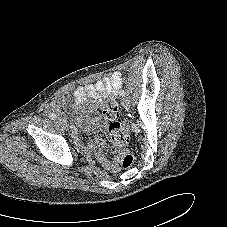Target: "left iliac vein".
Masks as SVG:
<instances>
[{
	"instance_id": "obj_1",
	"label": "left iliac vein",
	"mask_w": 227,
	"mask_h": 227,
	"mask_svg": "<svg viewBox=\"0 0 227 227\" xmlns=\"http://www.w3.org/2000/svg\"><path fill=\"white\" fill-rule=\"evenodd\" d=\"M122 106L125 108V109H129L130 108V102L126 99H122Z\"/></svg>"
}]
</instances>
